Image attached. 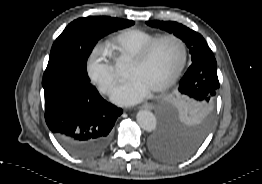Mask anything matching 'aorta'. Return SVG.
I'll return each mask as SVG.
<instances>
[{
	"mask_svg": "<svg viewBox=\"0 0 262 184\" xmlns=\"http://www.w3.org/2000/svg\"><path fill=\"white\" fill-rule=\"evenodd\" d=\"M136 119L143 130L147 132H152L155 130L156 118L152 112L148 110H140L137 113Z\"/></svg>",
	"mask_w": 262,
	"mask_h": 184,
	"instance_id": "obj_1",
	"label": "aorta"
}]
</instances>
